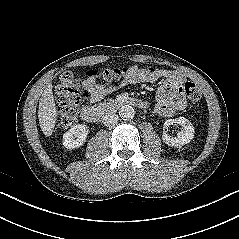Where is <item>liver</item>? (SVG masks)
Masks as SVG:
<instances>
[{"label":"liver","instance_id":"obj_1","mask_svg":"<svg viewBox=\"0 0 239 239\" xmlns=\"http://www.w3.org/2000/svg\"><path fill=\"white\" fill-rule=\"evenodd\" d=\"M38 119L45 136H51L57 121V110L50 83L43 91L39 101Z\"/></svg>","mask_w":239,"mask_h":239}]
</instances>
